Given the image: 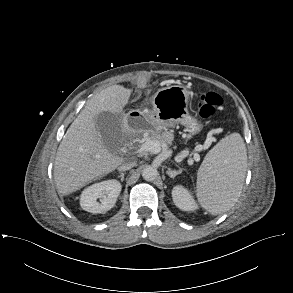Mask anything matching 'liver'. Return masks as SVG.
I'll return each instance as SVG.
<instances>
[{
	"label": "liver",
	"mask_w": 293,
	"mask_h": 293,
	"mask_svg": "<svg viewBox=\"0 0 293 293\" xmlns=\"http://www.w3.org/2000/svg\"><path fill=\"white\" fill-rule=\"evenodd\" d=\"M131 90L112 85L95 94L72 122L56 154L54 181L59 194L73 193L114 171L123 158L111 153L96 127L101 112L121 113Z\"/></svg>",
	"instance_id": "1"
}]
</instances>
